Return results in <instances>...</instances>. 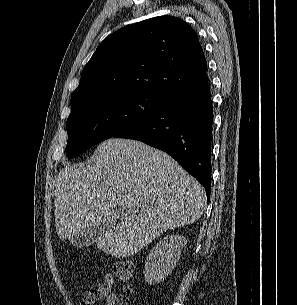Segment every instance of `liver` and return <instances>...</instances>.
I'll return each mask as SVG.
<instances>
[{"mask_svg": "<svg viewBox=\"0 0 297 305\" xmlns=\"http://www.w3.org/2000/svg\"><path fill=\"white\" fill-rule=\"evenodd\" d=\"M54 204L60 239L105 223L108 229L98 249L126 258L163 232L197 221L206 194L165 152L139 141L111 138L97 147L92 165L66 166L59 172Z\"/></svg>", "mask_w": 297, "mask_h": 305, "instance_id": "6515ba94", "label": "liver"}]
</instances>
